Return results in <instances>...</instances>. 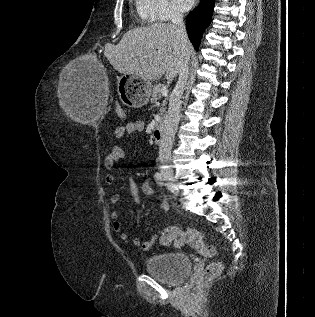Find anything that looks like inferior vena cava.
<instances>
[{"mask_svg":"<svg viewBox=\"0 0 315 317\" xmlns=\"http://www.w3.org/2000/svg\"><path fill=\"white\" fill-rule=\"evenodd\" d=\"M172 24L177 29V34L180 37L183 44L190 46L188 41L185 25L183 22V15L181 13L174 12L171 15ZM189 60L190 54L187 53L184 59V64L179 73L178 82L171 95L169 108L164 118V128L162 139L159 144V160L163 164L162 170H170L167 163L171 160V149L174 141L175 133L177 131L178 123L180 120L181 111V97L183 95L185 85L189 74Z\"/></svg>","mask_w":315,"mask_h":317,"instance_id":"inferior-vena-cava-1","label":"inferior vena cava"}]
</instances>
